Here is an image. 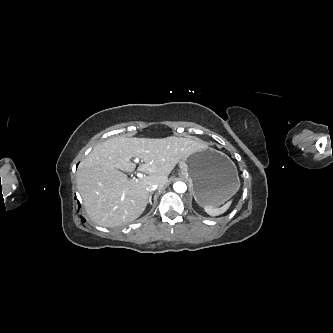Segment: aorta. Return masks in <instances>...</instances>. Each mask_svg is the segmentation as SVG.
Instances as JSON below:
<instances>
[{"label":"aorta","instance_id":"1","mask_svg":"<svg viewBox=\"0 0 333 333\" xmlns=\"http://www.w3.org/2000/svg\"><path fill=\"white\" fill-rule=\"evenodd\" d=\"M173 188L177 193H184L187 190V186L184 182H176Z\"/></svg>","mask_w":333,"mask_h":333}]
</instances>
